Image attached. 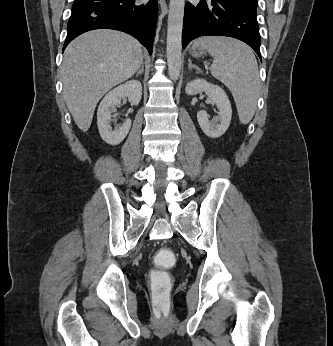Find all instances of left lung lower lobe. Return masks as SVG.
Returning a JSON list of instances; mask_svg holds the SVG:
<instances>
[{"mask_svg": "<svg viewBox=\"0 0 333 346\" xmlns=\"http://www.w3.org/2000/svg\"><path fill=\"white\" fill-rule=\"evenodd\" d=\"M200 36H228L239 39L254 49L261 59L257 13L235 5L231 0H200L186 3L182 46Z\"/></svg>", "mask_w": 333, "mask_h": 346, "instance_id": "0a47b994", "label": "left lung lower lobe"}]
</instances>
